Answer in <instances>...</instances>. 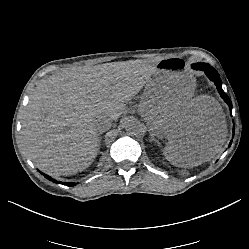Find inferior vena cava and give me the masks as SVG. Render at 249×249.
I'll list each match as a JSON object with an SVG mask.
<instances>
[{"mask_svg": "<svg viewBox=\"0 0 249 249\" xmlns=\"http://www.w3.org/2000/svg\"><path fill=\"white\" fill-rule=\"evenodd\" d=\"M112 126V119L106 115H101L96 119V127L100 132L109 130Z\"/></svg>", "mask_w": 249, "mask_h": 249, "instance_id": "inferior-vena-cava-1", "label": "inferior vena cava"}]
</instances>
